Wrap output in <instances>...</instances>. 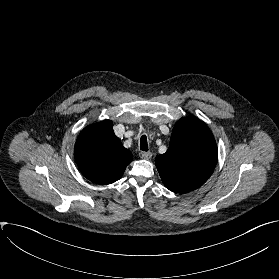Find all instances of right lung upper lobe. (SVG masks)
Instances as JSON below:
<instances>
[{"instance_id": "cb5924a9", "label": "right lung upper lobe", "mask_w": 279, "mask_h": 279, "mask_svg": "<svg viewBox=\"0 0 279 279\" xmlns=\"http://www.w3.org/2000/svg\"><path fill=\"white\" fill-rule=\"evenodd\" d=\"M74 156L82 174L97 184L119 180L132 161L131 152L114 134L110 120L85 127L75 143Z\"/></svg>"}]
</instances>
